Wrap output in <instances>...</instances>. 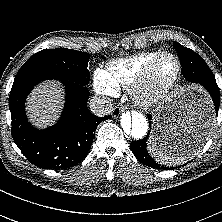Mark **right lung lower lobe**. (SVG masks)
I'll return each mask as SVG.
<instances>
[{
	"label": "right lung lower lobe",
	"mask_w": 222,
	"mask_h": 222,
	"mask_svg": "<svg viewBox=\"0 0 222 222\" xmlns=\"http://www.w3.org/2000/svg\"><path fill=\"white\" fill-rule=\"evenodd\" d=\"M56 79L66 89V103L59 121L45 130L28 122L24 103L39 82ZM89 91L85 85L41 72L17 74L10 92L14 142L24 156L38 167L61 170L80 163L88 154L97 126L111 116L98 117L87 108Z\"/></svg>",
	"instance_id": "obj_1"
}]
</instances>
